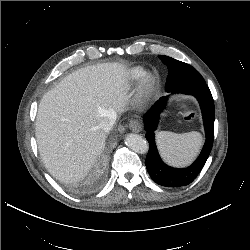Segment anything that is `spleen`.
<instances>
[{"mask_svg":"<svg viewBox=\"0 0 250 250\" xmlns=\"http://www.w3.org/2000/svg\"><path fill=\"white\" fill-rule=\"evenodd\" d=\"M157 142L162 157L168 163L183 165L189 163L198 153L202 136L195 131L183 134L161 131L157 135Z\"/></svg>","mask_w":250,"mask_h":250,"instance_id":"1","label":"spleen"}]
</instances>
